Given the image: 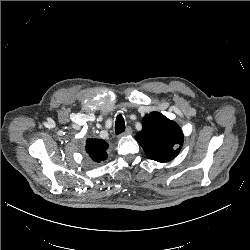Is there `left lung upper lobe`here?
Masks as SVG:
<instances>
[{
    "mask_svg": "<svg viewBox=\"0 0 250 250\" xmlns=\"http://www.w3.org/2000/svg\"><path fill=\"white\" fill-rule=\"evenodd\" d=\"M143 129L135 136L149 159L168 162L175 158L183 145L179 125L159 112L143 117Z\"/></svg>",
    "mask_w": 250,
    "mask_h": 250,
    "instance_id": "1",
    "label": "left lung upper lobe"
}]
</instances>
